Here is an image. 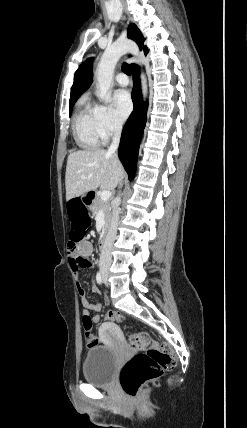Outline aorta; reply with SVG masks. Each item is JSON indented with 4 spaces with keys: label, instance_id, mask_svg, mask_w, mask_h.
Segmentation results:
<instances>
[{
    "label": "aorta",
    "instance_id": "obj_1",
    "mask_svg": "<svg viewBox=\"0 0 247 428\" xmlns=\"http://www.w3.org/2000/svg\"><path fill=\"white\" fill-rule=\"evenodd\" d=\"M121 55L122 51L118 50L115 46H111L105 50L100 59L96 69V78L98 85L97 95L101 101L108 100V92L111 86L114 69ZM142 90L145 95L147 92V85L144 76H142Z\"/></svg>",
    "mask_w": 247,
    "mask_h": 428
}]
</instances>
